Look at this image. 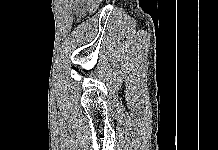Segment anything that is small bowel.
Returning <instances> with one entry per match:
<instances>
[{
	"label": "small bowel",
	"mask_w": 218,
	"mask_h": 150,
	"mask_svg": "<svg viewBox=\"0 0 218 150\" xmlns=\"http://www.w3.org/2000/svg\"><path fill=\"white\" fill-rule=\"evenodd\" d=\"M76 1L81 6L82 9H84V10H92L102 0H76Z\"/></svg>",
	"instance_id": "1"
}]
</instances>
